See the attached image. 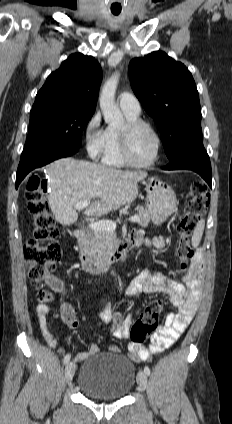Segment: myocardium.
<instances>
[{
  "label": "myocardium",
  "mask_w": 232,
  "mask_h": 424,
  "mask_svg": "<svg viewBox=\"0 0 232 424\" xmlns=\"http://www.w3.org/2000/svg\"><path fill=\"white\" fill-rule=\"evenodd\" d=\"M140 128L148 129L154 135L156 140L155 154L152 159L147 162H137L133 160L130 153L131 137L133 133ZM118 136L121 156L127 165L137 168H146L154 165L158 161L162 149V139L158 131L150 123L140 119L126 121L123 127L119 129Z\"/></svg>",
  "instance_id": "1"
}]
</instances>
